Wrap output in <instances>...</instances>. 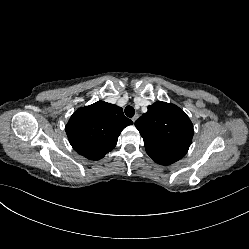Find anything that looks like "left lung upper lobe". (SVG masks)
I'll list each match as a JSON object with an SVG mask.
<instances>
[{"instance_id": "obj_1", "label": "left lung upper lobe", "mask_w": 249, "mask_h": 249, "mask_svg": "<svg viewBox=\"0 0 249 249\" xmlns=\"http://www.w3.org/2000/svg\"><path fill=\"white\" fill-rule=\"evenodd\" d=\"M135 126L143 137L147 154L161 165L183 158L194 133L189 117L178 106L162 101L148 106Z\"/></svg>"}]
</instances>
